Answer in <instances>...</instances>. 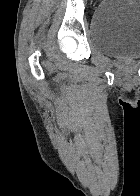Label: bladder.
<instances>
[{"label":"bladder","instance_id":"bladder-1","mask_svg":"<svg viewBox=\"0 0 140 196\" xmlns=\"http://www.w3.org/2000/svg\"><path fill=\"white\" fill-rule=\"evenodd\" d=\"M89 39L106 55L140 58V0H103L92 15Z\"/></svg>","mask_w":140,"mask_h":196}]
</instances>
